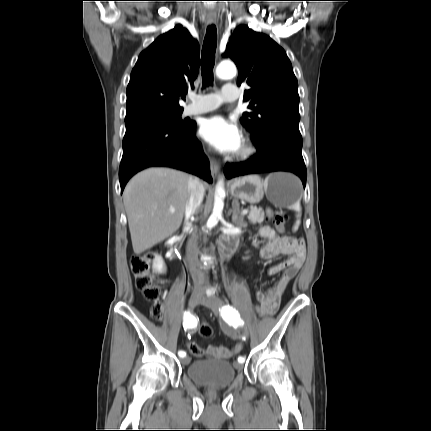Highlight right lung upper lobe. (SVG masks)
<instances>
[{
  "label": "right lung upper lobe",
  "instance_id": "cb5924a9",
  "mask_svg": "<svg viewBox=\"0 0 431 431\" xmlns=\"http://www.w3.org/2000/svg\"><path fill=\"white\" fill-rule=\"evenodd\" d=\"M199 71V44L181 25L159 36L139 55L126 90V117L183 111L188 87Z\"/></svg>",
  "mask_w": 431,
  "mask_h": 431
}]
</instances>
